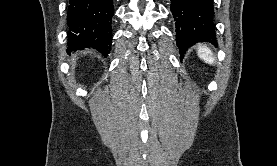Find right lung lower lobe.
Wrapping results in <instances>:
<instances>
[{"mask_svg":"<svg viewBox=\"0 0 277 166\" xmlns=\"http://www.w3.org/2000/svg\"><path fill=\"white\" fill-rule=\"evenodd\" d=\"M113 0H69L67 51L93 48L110 53Z\"/></svg>","mask_w":277,"mask_h":166,"instance_id":"right-lung-lower-lobe-1","label":"right lung lower lobe"}]
</instances>
